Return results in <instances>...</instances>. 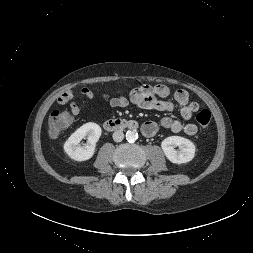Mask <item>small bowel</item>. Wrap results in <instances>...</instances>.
Segmentation results:
<instances>
[{
	"mask_svg": "<svg viewBox=\"0 0 253 253\" xmlns=\"http://www.w3.org/2000/svg\"><path fill=\"white\" fill-rule=\"evenodd\" d=\"M77 93L74 90L65 91L58 97L57 103L63 105L70 102L71 113L77 115L80 112V106L74 100ZM79 93L89 100L93 99V93L88 88L80 89ZM170 94L169 87L164 84L142 85L133 89L128 98L125 96L113 97L109 100V103L113 107H126L129 103H132L143 109L158 111H172L176 106H179L181 117L186 123L165 117L161 120V126L175 133L183 132L188 136H194L198 129L195 124L189 121L194 113L198 111V103L190 101L189 94L184 89H178L173 93V101L162 100ZM141 129L145 136L151 137L156 134L158 124L154 121H146Z\"/></svg>",
	"mask_w": 253,
	"mask_h": 253,
	"instance_id": "small-bowel-1",
	"label": "small bowel"
}]
</instances>
